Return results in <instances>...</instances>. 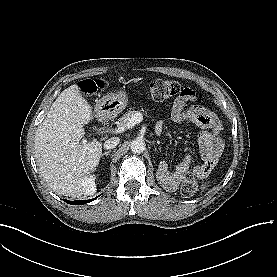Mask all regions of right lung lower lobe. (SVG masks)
Segmentation results:
<instances>
[{
    "label": "right lung lower lobe",
    "mask_w": 277,
    "mask_h": 277,
    "mask_svg": "<svg viewBox=\"0 0 277 277\" xmlns=\"http://www.w3.org/2000/svg\"><path fill=\"white\" fill-rule=\"evenodd\" d=\"M92 200H95V198L94 199H90V200H81V201H69V200H65V202H67L68 204H73V205H82V204L89 203Z\"/></svg>",
    "instance_id": "98d812e1"
}]
</instances>
